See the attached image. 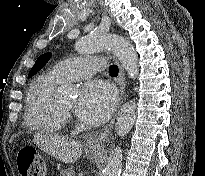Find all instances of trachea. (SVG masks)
I'll list each match as a JSON object with an SVG mask.
<instances>
[{"label": "trachea", "mask_w": 205, "mask_h": 176, "mask_svg": "<svg viewBox=\"0 0 205 176\" xmlns=\"http://www.w3.org/2000/svg\"><path fill=\"white\" fill-rule=\"evenodd\" d=\"M109 72L111 75H118L119 72L118 67L114 64L110 65Z\"/></svg>", "instance_id": "3493384b"}]
</instances>
